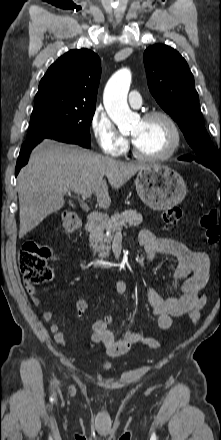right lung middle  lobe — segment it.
I'll return each mask as SVG.
<instances>
[{"label":"right lung middle lobe","instance_id":"obj_1","mask_svg":"<svg viewBox=\"0 0 221 440\" xmlns=\"http://www.w3.org/2000/svg\"><path fill=\"white\" fill-rule=\"evenodd\" d=\"M95 106L75 105L59 101L35 103L27 140L36 138H64L89 148V127Z\"/></svg>","mask_w":221,"mask_h":440}]
</instances>
